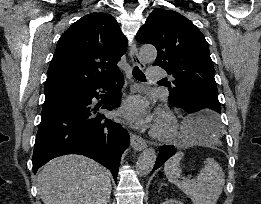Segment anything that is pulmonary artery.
<instances>
[{"mask_svg": "<svg viewBox=\"0 0 261 204\" xmlns=\"http://www.w3.org/2000/svg\"><path fill=\"white\" fill-rule=\"evenodd\" d=\"M165 76V72L158 66H152L147 71V77L150 81H158Z\"/></svg>", "mask_w": 261, "mask_h": 204, "instance_id": "pulmonary-artery-1", "label": "pulmonary artery"}]
</instances>
